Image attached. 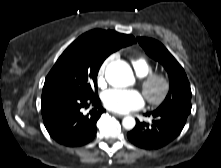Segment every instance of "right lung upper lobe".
Returning <instances> with one entry per match:
<instances>
[{"label":"right lung upper lobe","instance_id":"obj_1","mask_svg":"<svg viewBox=\"0 0 221 168\" xmlns=\"http://www.w3.org/2000/svg\"><path fill=\"white\" fill-rule=\"evenodd\" d=\"M75 43H87L102 52L112 53L118 49L136 42L131 35L120 34L115 31L100 29L91 30L81 35Z\"/></svg>","mask_w":221,"mask_h":168}]
</instances>
